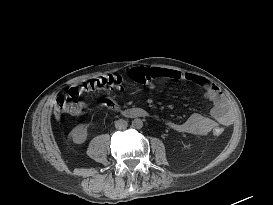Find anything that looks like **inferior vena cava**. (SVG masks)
Listing matches in <instances>:
<instances>
[{"label": "inferior vena cava", "mask_w": 273, "mask_h": 205, "mask_svg": "<svg viewBox=\"0 0 273 205\" xmlns=\"http://www.w3.org/2000/svg\"><path fill=\"white\" fill-rule=\"evenodd\" d=\"M128 126L127 122L123 119H119L117 121H115V128L119 129V130H123L126 129Z\"/></svg>", "instance_id": "602c4592"}]
</instances>
